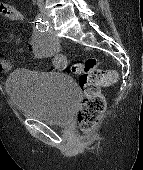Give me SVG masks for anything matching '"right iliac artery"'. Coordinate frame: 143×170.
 Returning a JSON list of instances; mask_svg holds the SVG:
<instances>
[{
    "label": "right iliac artery",
    "mask_w": 143,
    "mask_h": 170,
    "mask_svg": "<svg viewBox=\"0 0 143 170\" xmlns=\"http://www.w3.org/2000/svg\"><path fill=\"white\" fill-rule=\"evenodd\" d=\"M36 28L41 32H45L49 28L48 22L45 21L42 17H38L36 20Z\"/></svg>",
    "instance_id": "right-iliac-artery-1"
}]
</instances>
